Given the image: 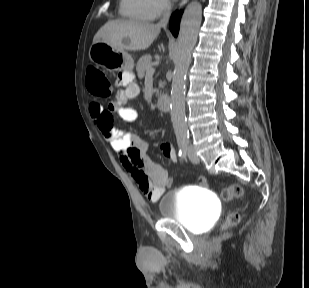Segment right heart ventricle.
Segmentation results:
<instances>
[{
	"label": "right heart ventricle",
	"mask_w": 309,
	"mask_h": 288,
	"mask_svg": "<svg viewBox=\"0 0 309 288\" xmlns=\"http://www.w3.org/2000/svg\"><path fill=\"white\" fill-rule=\"evenodd\" d=\"M120 13L133 21H151L155 17L148 0H120Z\"/></svg>",
	"instance_id": "right-heart-ventricle-1"
}]
</instances>
